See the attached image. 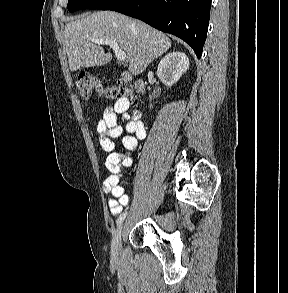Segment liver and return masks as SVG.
I'll list each match as a JSON object with an SVG mask.
<instances>
[{
  "mask_svg": "<svg viewBox=\"0 0 288 293\" xmlns=\"http://www.w3.org/2000/svg\"><path fill=\"white\" fill-rule=\"evenodd\" d=\"M64 37L71 71L102 66L111 61L112 54L89 38L115 41L126 53L129 71L133 75L142 73L171 47L170 39L162 32L112 11H98L72 19L65 26Z\"/></svg>",
  "mask_w": 288,
  "mask_h": 293,
  "instance_id": "liver-1",
  "label": "liver"
}]
</instances>
